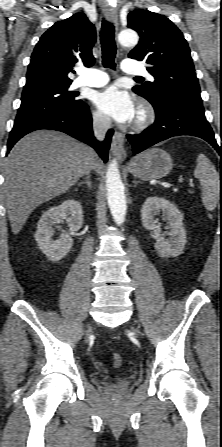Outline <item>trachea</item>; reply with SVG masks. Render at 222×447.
Segmentation results:
<instances>
[{
	"label": "trachea",
	"instance_id": "3493384b",
	"mask_svg": "<svg viewBox=\"0 0 222 447\" xmlns=\"http://www.w3.org/2000/svg\"><path fill=\"white\" fill-rule=\"evenodd\" d=\"M102 63L105 68L115 69L116 44L114 35V25L107 20H103L100 32ZM135 79H143L135 77Z\"/></svg>",
	"mask_w": 222,
	"mask_h": 447
}]
</instances>
